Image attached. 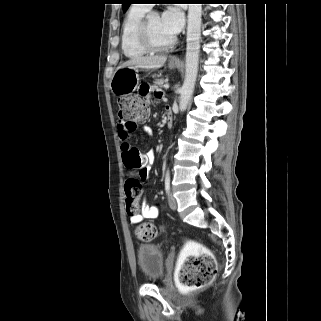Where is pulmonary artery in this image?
<instances>
[{
	"mask_svg": "<svg viewBox=\"0 0 321 321\" xmlns=\"http://www.w3.org/2000/svg\"><path fill=\"white\" fill-rule=\"evenodd\" d=\"M145 6H146L147 8H151V7H152L151 4H146Z\"/></svg>",
	"mask_w": 321,
	"mask_h": 321,
	"instance_id": "1",
	"label": "pulmonary artery"
}]
</instances>
